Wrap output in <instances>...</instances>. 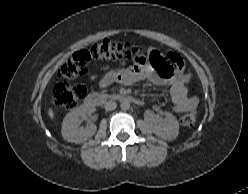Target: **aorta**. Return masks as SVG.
Instances as JSON below:
<instances>
[{
    "instance_id": "aorta-1",
    "label": "aorta",
    "mask_w": 248,
    "mask_h": 194,
    "mask_svg": "<svg viewBox=\"0 0 248 194\" xmlns=\"http://www.w3.org/2000/svg\"><path fill=\"white\" fill-rule=\"evenodd\" d=\"M120 107L122 110L127 111L130 109V102L127 100H124L123 102H121Z\"/></svg>"
}]
</instances>
